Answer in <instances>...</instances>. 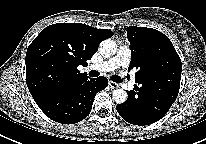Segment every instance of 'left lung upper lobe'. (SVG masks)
<instances>
[{
    "instance_id": "5c2ea615",
    "label": "left lung upper lobe",
    "mask_w": 206,
    "mask_h": 144,
    "mask_svg": "<svg viewBox=\"0 0 206 144\" xmlns=\"http://www.w3.org/2000/svg\"><path fill=\"white\" fill-rule=\"evenodd\" d=\"M127 37L132 52L128 71L136 70L135 82L147 92H178L182 63L168 37L152 28L135 26L127 28Z\"/></svg>"
}]
</instances>
